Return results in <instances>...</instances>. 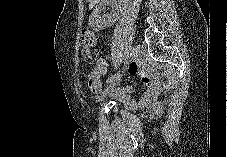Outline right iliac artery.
<instances>
[{
    "mask_svg": "<svg viewBox=\"0 0 227 157\" xmlns=\"http://www.w3.org/2000/svg\"><path fill=\"white\" fill-rule=\"evenodd\" d=\"M125 55H124V58L127 60L128 58H129V56H130V49L129 48H126L125 49V53H124ZM118 72V71H117ZM114 78H117V76L116 75H114L113 77H111L110 79H108L107 81H106V83H109L110 81H112Z\"/></svg>",
    "mask_w": 227,
    "mask_h": 157,
    "instance_id": "right-iliac-artery-1",
    "label": "right iliac artery"
}]
</instances>
